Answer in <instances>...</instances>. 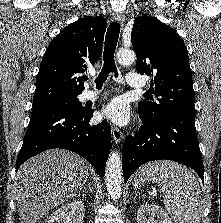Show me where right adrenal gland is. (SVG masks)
<instances>
[{
	"mask_svg": "<svg viewBox=\"0 0 221 223\" xmlns=\"http://www.w3.org/2000/svg\"><path fill=\"white\" fill-rule=\"evenodd\" d=\"M87 188L92 192L93 188H92V184H91V179L88 178V181L86 183V185L83 187V192L87 190Z\"/></svg>",
	"mask_w": 221,
	"mask_h": 223,
	"instance_id": "1",
	"label": "right adrenal gland"
}]
</instances>
